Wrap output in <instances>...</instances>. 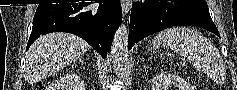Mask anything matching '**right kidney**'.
Wrapping results in <instances>:
<instances>
[{
    "mask_svg": "<svg viewBox=\"0 0 237 90\" xmlns=\"http://www.w3.org/2000/svg\"><path fill=\"white\" fill-rule=\"evenodd\" d=\"M60 88H61L60 84H56L55 88H53V86H51V84L49 86V90H60Z\"/></svg>",
    "mask_w": 237,
    "mask_h": 90,
    "instance_id": "1",
    "label": "right kidney"
}]
</instances>
